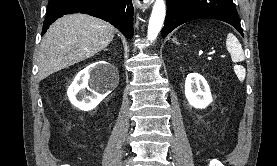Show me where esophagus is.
Returning <instances> with one entry per match:
<instances>
[{
  "label": "esophagus",
  "mask_w": 277,
  "mask_h": 166,
  "mask_svg": "<svg viewBox=\"0 0 277 166\" xmlns=\"http://www.w3.org/2000/svg\"><path fill=\"white\" fill-rule=\"evenodd\" d=\"M133 5L140 9H147L153 2V0H132Z\"/></svg>",
  "instance_id": "34e87169"
}]
</instances>
